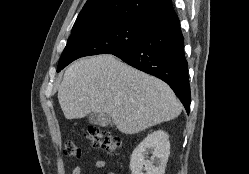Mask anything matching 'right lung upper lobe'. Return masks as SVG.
Here are the masks:
<instances>
[{"label": "right lung upper lobe", "mask_w": 249, "mask_h": 174, "mask_svg": "<svg viewBox=\"0 0 249 174\" xmlns=\"http://www.w3.org/2000/svg\"><path fill=\"white\" fill-rule=\"evenodd\" d=\"M175 15L171 0H87L71 32L121 21H149Z\"/></svg>", "instance_id": "1"}]
</instances>
